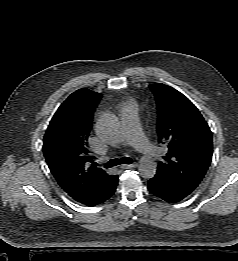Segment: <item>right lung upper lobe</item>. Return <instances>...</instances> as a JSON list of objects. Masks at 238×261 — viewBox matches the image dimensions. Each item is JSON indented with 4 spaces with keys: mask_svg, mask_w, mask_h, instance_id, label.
Wrapping results in <instances>:
<instances>
[{
    "mask_svg": "<svg viewBox=\"0 0 238 261\" xmlns=\"http://www.w3.org/2000/svg\"><path fill=\"white\" fill-rule=\"evenodd\" d=\"M101 94L82 88L72 93L54 114L43 139V153L59 186L86 204L114 176L98 168L87 149L92 119Z\"/></svg>",
    "mask_w": 238,
    "mask_h": 261,
    "instance_id": "cb5924a9",
    "label": "right lung upper lobe"
}]
</instances>
